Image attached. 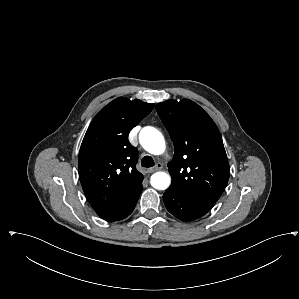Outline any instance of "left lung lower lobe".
<instances>
[{"mask_svg": "<svg viewBox=\"0 0 299 299\" xmlns=\"http://www.w3.org/2000/svg\"><path fill=\"white\" fill-rule=\"evenodd\" d=\"M163 200L167 210L182 221L196 220L210 210L172 187L165 191Z\"/></svg>", "mask_w": 299, "mask_h": 299, "instance_id": "obj_1", "label": "left lung lower lobe"}]
</instances>
